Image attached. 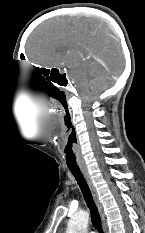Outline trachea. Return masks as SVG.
I'll list each match as a JSON object with an SVG mask.
<instances>
[{"label": "trachea", "instance_id": "obj_1", "mask_svg": "<svg viewBox=\"0 0 145 233\" xmlns=\"http://www.w3.org/2000/svg\"><path fill=\"white\" fill-rule=\"evenodd\" d=\"M70 172L75 177L77 184L79 185L81 192L84 196V199L86 201V204L90 210L91 213V221L93 226L99 231V233H103L102 225H101V219L98 212V209L95 205V202L93 200L91 191L87 185V182L85 181L80 169L78 167H69Z\"/></svg>", "mask_w": 145, "mask_h": 233}]
</instances>
